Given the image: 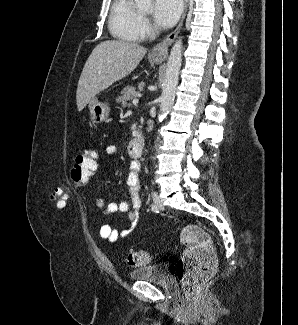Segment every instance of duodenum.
<instances>
[{
	"label": "duodenum",
	"mask_w": 298,
	"mask_h": 325,
	"mask_svg": "<svg viewBox=\"0 0 298 325\" xmlns=\"http://www.w3.org/2000/svg\"><path fill=\"white\" fill-rule=\"evenodd\" d=\"M144 149V139L141 135L135 136L128 144V151L132 157H140Z\"/></svg>",
	"instance_id": "obj_1"
}]
</instances>
